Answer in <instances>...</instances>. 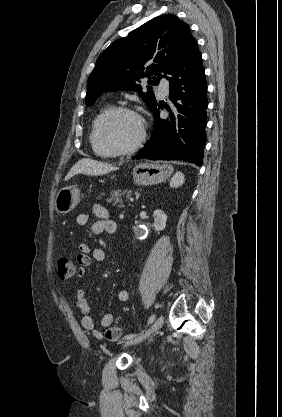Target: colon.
Segmentation results:
<instances>
[{
  "mask_svg": "<svg viewBox=\"0 0 282 417\" xmlns=\"http://www.w3.org/2000/svg\"><path fill=\"white\" fill-rule=\"evenodd\" d=\"M83 271V266H74L73 259L62 256L58 261V274L62 279H68L74 275H80ZM123 338V331L118 326L114 325L106 331L107 344H116L117 339Z\"/></svg>",
  "mask_w": 282,
  "mask_h": 417,
  "instance_id": "colon-1",
  "label": "colon"
}]
</instances>
